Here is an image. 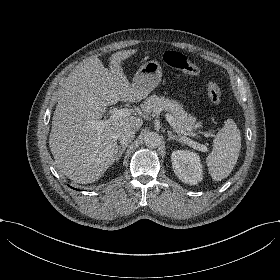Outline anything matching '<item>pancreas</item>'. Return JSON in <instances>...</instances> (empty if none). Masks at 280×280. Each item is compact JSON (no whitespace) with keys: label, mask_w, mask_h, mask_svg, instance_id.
<instances>
[{"label":"pancreas","mask_w":280,"mask_h":280,"mask_svg":"<svg viewBox=\"0 0 280 280\" xmlns=\"http://www.w3.org/2000/svg\"><path fill=\"white\" fill-rule=\"evenodd\" d=\"M141 108L146 115L151 113H158L161 111H168L174 117V122L176 124V130H182L184 132H189L192 136L195 135L193 132L202 125L200 122L196 123V119L189 116L183 109V105L176 100H170L165 97H158L157 95L149 96Z\"/></svg>","instance_id":"cf45deb5"}]
</instances>
